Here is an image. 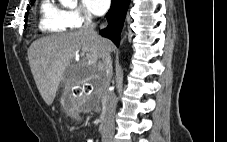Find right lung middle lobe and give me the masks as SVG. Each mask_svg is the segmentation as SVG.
Instances as JSON below:
<instances>
[{"mask_svg": "<svg viewBox=\"0 0 227 142\" xmlns=\"http://www.w3.org/2000/svg\"><path fill=\"white\" fill-rule=\"evenodd\" d=\"M31 4H33V2H31ZM26 20H27V19H26V17H25V22H26Z\"/></svg>", "mask_w": 227, "mask_h": 142, "instance_id": "right-lung-middle-lobe-1", "label": "right lung middle lobe"}]
</instances>
